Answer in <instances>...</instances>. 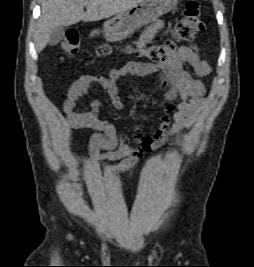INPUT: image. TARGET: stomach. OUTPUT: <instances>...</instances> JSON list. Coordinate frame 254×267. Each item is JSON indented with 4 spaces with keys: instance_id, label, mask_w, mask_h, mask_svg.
<instances>
[{
    "instance_id": "0dacf381",
    "label": "stomach",
    "mask_w": 254,
    "mask_h": 267,
    "mask_svg": "<svg viewBox=\"0 0 254 267\" xmlns=\"http://www.w3.org/2000/svg\"><path fill=\"white\" fill-rule=\"evenodd\" d=\"M178 0H145L136 7L107 20L104 37L111 42L128 38L136 29L154 22L177 6Z\"/></svg>"
}]
</instances>
